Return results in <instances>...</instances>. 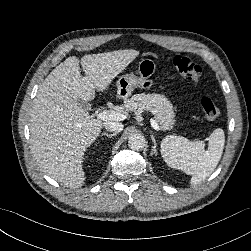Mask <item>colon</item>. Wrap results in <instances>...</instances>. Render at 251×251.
Here are the masks:
<instances>
[{
    "label": "colon",
    "mask_w": 251,
    "mask_h": 251,
    "mask_svg": "<svg viewBox=\"0 0 251 251\" xmlns=\"http://www.w3.org/2000/svg\"><path fill=\"white\" fill-rule=\"evenodd\" d=\"M173 65L182 77L191 81H197L202 74L201 67L185 55H176L173 58ZM201 107L204 117L208 121H213L220 115L219 108L208 97L201 99Z\"/></svg>",
    "instance_id": "obj_1"
}]
</instances>
